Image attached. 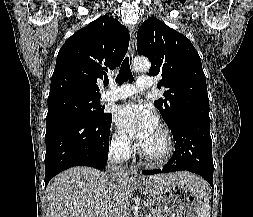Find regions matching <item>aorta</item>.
Instances as JSON below:
<instances>
[{
	"mask_svg": "<svg viewBox=\"0 0 253 217\" xmlns=\"http://www.w3.org/2000/svg\"><path fill=\"white\" fill-rule=\"evenodd\" d=\"M133 68L137 72L148 71L150 68V62L146 58H136L133 61Z\"/></svg>",
	"mask_w": 253,
	"mask_h": 217,
	"instance_id": "aorta-1",
	"label": "aorta"
}]
</instances>
